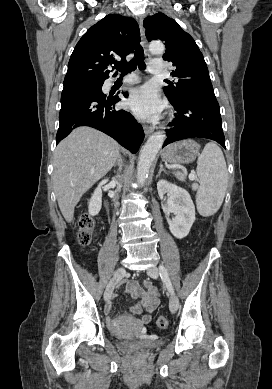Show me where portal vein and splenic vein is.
I'll list each match as a JSON object with an SVG mask.
<instances>
[{
	"mask_svg": "<svg viewBox=\"0 0 272 389\" xmlns=\"http://www.w3.org/2000/svg\"><path fill=\"white\" fill-rule=\"evenodd\" d=\"M189 179H190V180H195V179H196V176H195V173H194V172H191V173L189 174Z\"/></svg>",
	"mask_w": 272,
	"mask_h": 389,
	"instance_id": "18ae733b",
	"label": "portal vein and splenic vein"
}]
</instances>
